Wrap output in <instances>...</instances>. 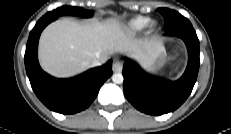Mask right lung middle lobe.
Masks as SVG:
<instances>
[{
  "mask_svg": "<svg viewBox=\"0 0 231 134\" xmlns=\"http://www.w3.org/2000/svg\"><path fill=\"white\" fill-rule=\"evenodd\" d=\"M71 14L78 15L81 17H91L93 13L91 11H83L80 7H70V6H62L56 10L46 13L42 18L43 19H57L59 16Z\"/></svg>",
  "mask_w": 231,
  "mask_h": 134,
  "instance_id": "obj_1",
  "label": "right lung middle lobe"
}]
</instances>
